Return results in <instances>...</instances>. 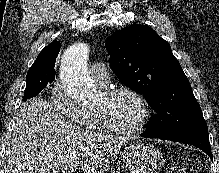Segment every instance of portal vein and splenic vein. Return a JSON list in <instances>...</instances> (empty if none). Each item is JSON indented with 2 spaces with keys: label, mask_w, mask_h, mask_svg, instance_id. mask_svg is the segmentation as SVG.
<instances>
[{
  "label": "portal vein and splenic vein",
  "mask_w": 219,
  "mask_h": 173,
  "mask_svg": "<svg viewBox=\"0 0 219 173\" xmlns=\"http://www.w3.org/2000/svg\"><path fill=\"white\" fill-rule=\"evenodd\" d=\"M73 171H74V169H73V168H70L69 171H68V173H72Z\"/></svg>",
  "instance_id": "1"
}]
</instances>
